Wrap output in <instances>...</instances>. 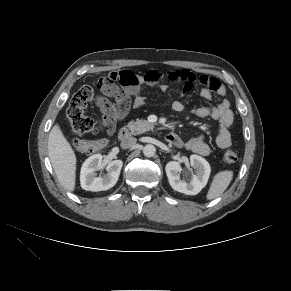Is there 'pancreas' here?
Segmentation results:
<instances>
[{
    "label": "pancreas",
    "mask_w": 291,
    "mask_h": 291,
    "mask_svg": "<svg viewBox=\"0 0 291 291\" xmlns=\"http://www.w3.org/2000/svg\"><path fill=\"white\" fill-rule=\"evenodd\" d=\"M153 127H154L153 124L149 123L146 120L130 121L127 125V128L133 135L142 134L146 131L153 129Z\"/></svg>",
    "instance_id": "pancreas-1"
}]
</instances>
